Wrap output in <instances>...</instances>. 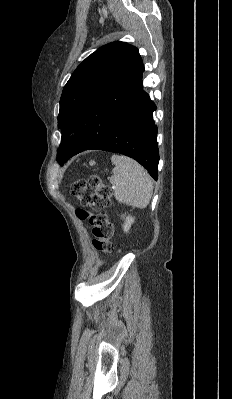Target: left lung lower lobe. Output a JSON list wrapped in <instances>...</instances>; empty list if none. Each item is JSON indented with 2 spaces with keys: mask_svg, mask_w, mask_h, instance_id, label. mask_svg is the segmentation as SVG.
I'll list each match as a JSON object with an SVG mask.
<instances>
[{
  "mask_svg": "<svg viewBox=\"0 0 232 399\" xmlns=\"http://www.w3.org/2000/svg\"><path fill=\"white\" fill-rule=\"evenodd\" d=\"M155 103L143 90V84L130 106L110 131L90 149L120 153L135 159L158 179L159 150L157 126L153 120Z\"/></svg>",
  "mask_w": 232,
  "mask_h": 399,
  "instance_id": "1",
  "label": "left lung lower lobe"
}]
</instances>
